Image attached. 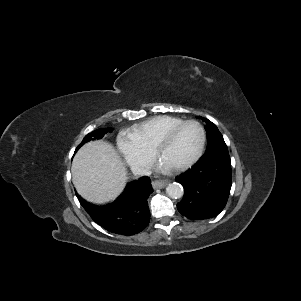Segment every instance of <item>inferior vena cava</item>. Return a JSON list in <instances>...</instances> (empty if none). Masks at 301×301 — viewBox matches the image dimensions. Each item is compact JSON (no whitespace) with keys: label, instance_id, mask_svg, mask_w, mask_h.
Returning <instances> with one entry per match:
<instances>
[{"label":"inferior vena cava","instance_id":"inferior-vena-cava-1","mask_svg":"<svg viewBox=\"0 0 301 301\" xmlns=\"http://www.w3.org/2000/svg\"><path fill=\"white\" fill-rule=\"evenodd\" d=\"M132 172L135 176H149L151 174V171L148 167L136 165L132 167Z\"/></svg>","mask_w":301,"mask_h":301}]
</instances>
